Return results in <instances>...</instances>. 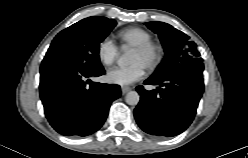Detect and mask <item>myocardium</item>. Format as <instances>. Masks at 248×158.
I'll use <instances>...</instances> for the list:
<instances>
[{
  "label": "myocardium",
  "instance_id": "myocardium-1",
  "mask_svg": "<svg viewBox=\"0 0 248 158\" xmlns=\"http://www.w3.org/2000/svg\"><path fill=\"white\" fill-rule=\"evenodd\" d=\"M135 50L145 54L148 57V62L146 65L147 69L153 70L160 65L163 58V52L160 45L153 42H148L136 46Z\"/></svg>",
  "mask_w": 248,
  "mask_h": 158
}]
</instances>
